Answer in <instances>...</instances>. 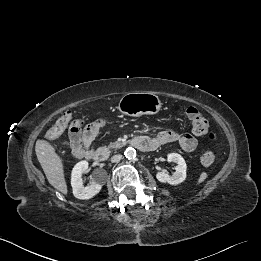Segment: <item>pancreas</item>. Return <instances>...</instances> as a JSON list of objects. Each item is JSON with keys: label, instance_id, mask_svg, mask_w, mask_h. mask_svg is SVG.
Masks as SVG:
<instances>
[{"label": "pancreas", "instance_id": "obj_1", "mask_svg": "<svg viewBox=\"0 0 261 261\" xmlns=\"http://www.w3.org/2000/svg\"><path fill=\"white\" fill-rule=\"evenodd\" d=\"M123 145H124V143L114 142V143H110V144H109V148H111V149H117V148H121Z\"/></svg>", "mask_w": 261, "mask_h": 261}]
</instances>
